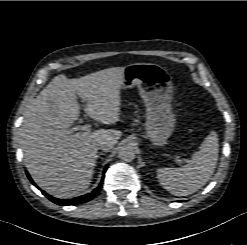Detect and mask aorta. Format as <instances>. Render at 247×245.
Returning <instances> with one entry per match:
<instances>
[{
  "label": "aorta",
  "instance_id": "1",
  "mask_svg": "<svg viewBox=\"0 0 247 245\" xmlns=\"http://www.w3.org/2000/svg\"><path fill=\"white\" fill-rule=\"evenodd\" d=\"M136 153L132 145H124L118 152V157L124 162H132L135 159Z\"/></svg>",
  "mask_w": 247,
  "mask_h": 245
}]
</instances>
